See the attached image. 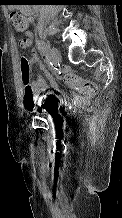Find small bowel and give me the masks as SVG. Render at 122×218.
<instances>
[{"label": "small bowel", "mask_w": 122, "mask_h": 218, "mask_svg": "<svg viewBox=\"0 0 122 218\" xmlns=\"http://www.w3.org/2000/svg\"><path fill=\"white\" fill-rule=\"evenodd\" d=\"M33 38H34L33 33L31 31H26L24 36L21 38V40L19 42L20 47L25 48V49L29 48L33 43ZM30 60H31L32 63L39 64L40 68L45 70V66H44L43 62L39 59L36 52L31 53ZM63 75L66 78L71 76L69 71H65L63 73ZM47 77L50 80L51 87L54 88V89H57L58 88L57 82L52 78V76L49 73H47ZM47 89H48L47 82L45 81V79L40 74H37L32 79V91H31L30 97L33 100L34 104H33V107L30 110H32V109L37 110L36 107H35V102L38 99V94L40 92L46 91ZM49 98H52V100H47ZM75 99H78V98H75ZM42 100H43V104H42L41 107H42L43 110H47L49 108V106H52L55 103L61 101V98L59 96H57L55 93H53V92H48L46 95H44L42 97ZM26 101H27V96H25V98H24V105H25V107L27 109H29L27 107V105H26Z\"/></svg>", "instance_id": "1"}]
</instances>
